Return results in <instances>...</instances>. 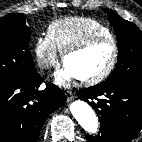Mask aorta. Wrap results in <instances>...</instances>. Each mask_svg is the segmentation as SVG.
I'll use <instances>...</instances> for the list:
<instances>
[{"label":"aorta","instance_id":"obj_1","mask_svg":"<svg viewBox=\"0 0 142 142\" xmlns=\"http://www.w3.org/2000/svg\"><path fill=\"white\" fill-rule=\"evenodd\" d=\"M70 111L85 131L90 134L97 133L98 120L90 105L82 100H76L70 104Z\"/></svg>","mask_w":142,"mask_h":142}]
</instances>
